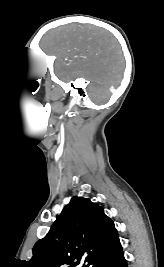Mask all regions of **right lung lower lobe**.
<instances>
[{"mask_svg": "<svg viewBox=\"0 0 164 267\" xmlns=\"http://www.w3.org/2000/svg\"><path fill=\"white\" fill-rule=\"evenodd\" d=\"M94 267H127L122 248L102 257Z\"/></svg>", "mask_w": 164, "mask_h": 267, "instance_id": "1", "label": "right lung lower lobe"}]
</instances>
